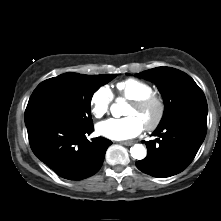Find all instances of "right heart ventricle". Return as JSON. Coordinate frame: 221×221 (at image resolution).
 Returning a JSON list of instances; mask_svg holds the SVG:
<instances>
[{
	"instance_id": "obj_1",
	"label": "right heart ventricle",
	"mask_w": 221,
	"mask_h": 221,
	"mask_svg": "<svg viewBox=\"0 0 221 221\" xmlns=\"http://www.w3.org/2000/svg\"><path fill=\"white\" fill-rule=\"evenodd\" d=\"M116 88L119 96L129 101L154 94L153 87L150 84L134 78L118 82Z\"/></svg>"
}]
</instances>
